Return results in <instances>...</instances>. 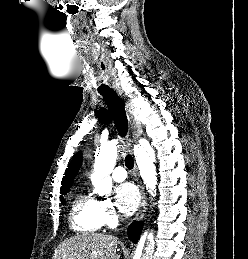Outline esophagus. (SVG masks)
Returning a JSON list of instances; mask_svg holds the SVG:
<instances>
[{"mask_svg": "<svg viewBox=\"0 0 248 259\" xmlns=\"http://www.w3.org/2000/svg\"><path fill=\"white\" fill-rule=\"evenodd\" d=\"M117 94L123 99V101L125 103V109H126V112H127V117H128L129 123H130L131 131H132V137H133V140L136 142L142 134V128H141V122H140L139 116L135 112V109H134L130 99L127 98L123 94V92L120 91V90L117 91ZM133 172H134V177H135V180L138 184V187L140 189V194H141L140 206H139L138 212H137L136 217H135L136 221H140V220L143 219V217L145 215L147 200H146L144 187H143V185L141 183V180L139 178L138 168H137L136 163H134V171Z\"/></svg>", "mask_w": 248, "mask_h": 259, "instance_id": "34e87169", "label": "esophagus"}]
</instances>
